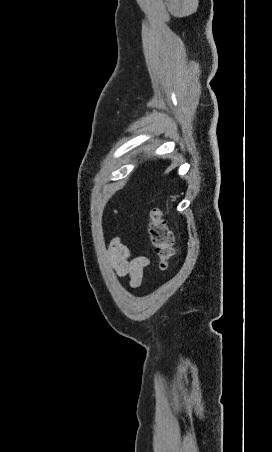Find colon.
<instances>
[{
  "instance_id": "5ec220e1",
  "label": "colon",
  "mask_w": 272,
  "mask_h": 452,
  "mask_svg": "<svg viewBox=\"0 0 272 452\" xmlns=\"http://www.w3.org/2000/svg\"><path fill=\"white\" fill-rule=\"evenodd\" d=\"M149 235L157 255V266L160 271L168 268L173 256V236L160 208L150 211Z\"/></svg>"
}]
</instances>
